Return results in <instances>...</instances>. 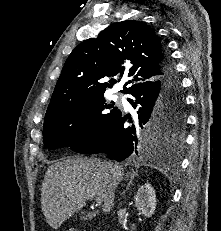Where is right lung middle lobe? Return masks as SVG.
<instances>
[{"instance_id":"right-lung-middle-lobe-1","label":"right lung middle lobe","mask_w":221,"mask_h":231,"mask_svg":"<svg viewBox=\"0 0 221 231\" xmlns=\"http://www.w3.org/2000/svg\"><path fill=\"white\" fill-rule=\"evenodd\" d=\"M112 108L109 112L107 109ZM119 112L107 105L104 96L69 101L45 118L43 142L49 149L77 147L100 133ZM186 124L185 104L162 97L148 125V130L164 142L181 144Z\"/></svg>"}]
</instances>
